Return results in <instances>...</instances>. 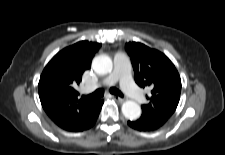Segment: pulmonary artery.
Segmentation results:
<instances>
[{
	"label": "pulmonary artery",
	"mask_w": 225,
	"mask_h": 155,
	"mask_svg": "<svg viewBox=\"0 0 225 155\" xmlns=\"http://www.w3.org/2000/svg\"><path fill=\"white\" fill-rule=\"evenodd\" d=\"M116 82L120 83L122 90L133 100L137 102L143 101L144 96L131 78L128 57L123 52H118L115 55L113 72L104 78L97 86H110Z\"/></svg>",
	"instance_id": "e3ab8cb5"
}]
</instances>
